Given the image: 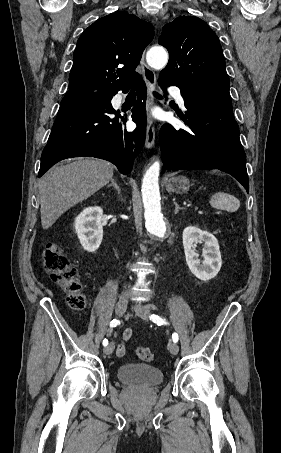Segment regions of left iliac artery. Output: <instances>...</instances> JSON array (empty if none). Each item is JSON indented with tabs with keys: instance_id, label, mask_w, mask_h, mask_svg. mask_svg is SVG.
I'll return each instance as SVG.
<instances>
[{
	"instance_id": "left-iliac-artery-1",
	"label": "left iliac artery",
	"mask_w": 281,
	"mask_h": 453,
	"mask_svg": "<svg viewBox=\"0 0 281 453\" xmlns=\"http://www.w3.org/2000/svg\"><path fill=\"white\" fill-rule=\"evenodd\" d=\"M150 320H152L157 325L167 324V322H165V319L163 320L158 315L154 314L150 316ZM172 339L173 342L176 343L178 341V334L177 333L172 334Z\"/></svg>"
}]
</instances>
